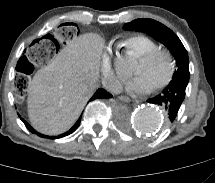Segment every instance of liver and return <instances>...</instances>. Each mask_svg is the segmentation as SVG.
<instances>
[{
  "label": "liver",
  "mask_w": 215,
  "mask_h": 183,
  "mask_svg": "<svg viewBox=\"0 0 215 183\" xmlns=\"http://www.w3.org/2000/svg\"><path fill=\"white\" fill-rule=\"evenodd\" d=\"M103 39L93 33L70 41L28 86V115L40 133L57 135L78 119L99 78Z\"/></svg>",
  "instance_id": "liver-1"
}]
</instances>
